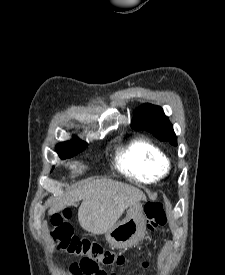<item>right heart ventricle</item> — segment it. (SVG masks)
Instances as JSON below:
<instances>
[{"mask_svg": "<svg viewBox=\"0 0 225 275\" xmlns=\"http://www.w3.org/2000/svg\"><path fill=\"white\" fill-rule=\"evenodd\" d=\"M118 169L140 182L153 183L170 170L166 154L152 141L138 137L118 150L116 156Z\"/></svg>", "mask_w": 225, "mask_h": 275, "instance_id": "right-heart-ventricle-1", "label": "right heart ventricle"}]
</instances>
